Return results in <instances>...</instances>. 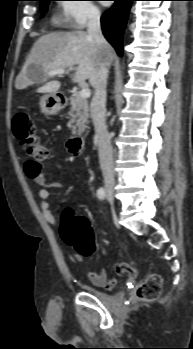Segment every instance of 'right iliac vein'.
Listing matches in <instances>:
<instances>
[{
	"instance_id": "right-iliac-vein-1",
	"label": "right iliac vein",
	"mask_w": 193,
	"mask_h": 349,
	"mask_svg": "<svg viewBox=\"0 0 193 349\" xmlns=\"http://www.w3.org/2000/svg\"><path fill=\"white\" fill-rule=\"evenodd\" d=\"M108 193H109V194H113V189H111V188L108 189Z\"/></svg>"
}]
</instances>
